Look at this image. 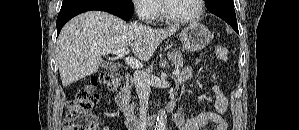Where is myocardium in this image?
<instances>
[{
	"mask_svg": "<svg viewBox=\"0 0 299 130\" xmlns=\"http://www.w3.org/2000/svg\"><path fill=\"white\" fill-rule=\"evenodd\" d=\"M170 0L162 1V11L164 18L167 21L177 23V24H188L197 21L204 11V1L203 0H196L197 1V10L195 13L189 16L177 17L170 14L168 10V2Z\"/></svg>",
	"mask_w": 299,
	"mask_h": 130,
	"instance_id": "obj_1",
	"label": "myocardium"
}]
</instances>
